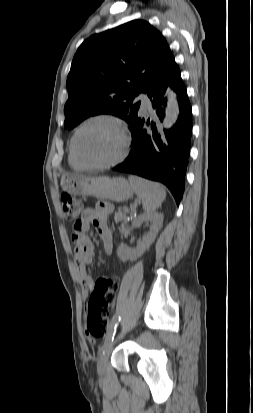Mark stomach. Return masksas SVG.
<instances>
[{
	"label": "stomach",
	"instance_id": "stomach-1",
	"mask_svg": "<svg viewBox=\"0 0 253 413\" xmlns=\"http://www.w3.org/2000/svg\"><path fill=\"white\" fill-rule=\"evenodd\" d=\"M61 186L72 196H93L116 202L126 201L133 195L131 184L123 177L63 176Z\"/></svg>",
	"mask_w": 253,
	"mask_h": 413
}]
</instances>
